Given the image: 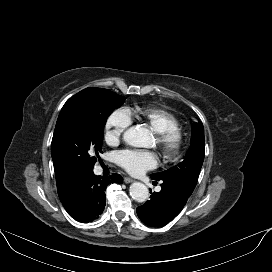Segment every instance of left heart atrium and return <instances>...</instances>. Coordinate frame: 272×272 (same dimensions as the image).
<instances>
[{
  "mask_svg": "<svg viewBox=\"0 0 272 272\" xmlns=\"http://www.w3.org/2000/svg\"><path fill=\"white\" fill-rule=\"evenodd\" d=\"M116 162L128 173L139 175L154 168L158 163V157L152 151L127 149L116 154Z\"/></svg>",
  "mask_w": 272,
  "mask_h": 272,
  "instance_id": "obj_1",
  "label": "left heart atrium"
}]
</instances>
